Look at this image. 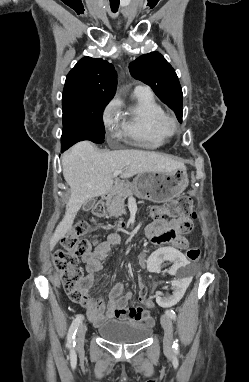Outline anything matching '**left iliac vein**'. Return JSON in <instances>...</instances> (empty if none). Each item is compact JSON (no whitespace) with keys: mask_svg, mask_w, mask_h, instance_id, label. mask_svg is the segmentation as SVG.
Returning <instances> with one entry per match:
<instances>
[{"mask_svg":"<svg viewBox=\"0 0 249 382\" xmlns=\"http://www.w3.org/2000/svg\"><path fill=\"white\" fill-rule=\"evenodd\" d=\"M161 324L164 329V339L163 346L166 352H170L172 350L173 344V325L170 317L167 315L161 316Z\"/></svg>","mask_w":249,"mask_h":382,"instance_id":"1","label":"left iliac vein"}]
</instances>
